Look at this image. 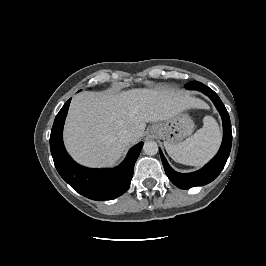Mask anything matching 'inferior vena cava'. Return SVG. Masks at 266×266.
<instances>
[{"label": "inferior vena cava", "mask_w": 266, "mask_h": 266, "mask_svg": "<svg viewBox=\"0 0 266 266\" xmlns=\"http://www.w3.org/2000/svg\"><path fill=\"white\" fill-rule=\"evenodd\" d=\"M131 137L132 135L129 131H121L119 133V138L123 143H126V144L130 143Z\"/></svg>", "instance_id": "1"}]
</instances>
